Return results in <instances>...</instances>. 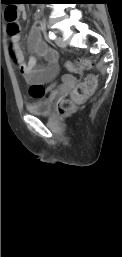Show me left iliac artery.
Here are the masks:
<instances>
[{
  "instance_id": "44dca946",
  "label": "left iliac artery",
  "mask_w": 122,
  "mask_h": 257,
  "mask_svg": "<svg viewBox=\"0 0 122 257\" xmlns=\"http://www.w3.org/2000/svg\"><path fill=\"white\" fill-rule=\"evenodd\" d=\"M48 36L52 40H54L56 38V35L53 32H49Z\"/></svg>"
}]
</instances>
